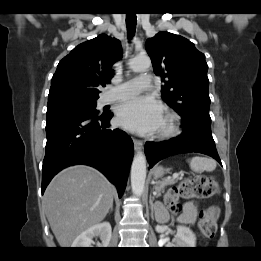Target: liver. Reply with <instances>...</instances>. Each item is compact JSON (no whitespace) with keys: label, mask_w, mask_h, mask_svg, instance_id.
<instances>
[{"label":"liver","mask_w":261,"mask_h":261,"mask_svg":"<svg viewBox=\"0 0 261 261\" xmlns=\"http://www.w3.org/2000/svg\"><path fill=\"white\" fill-rule=\"evenodd\" d=\"M114 188L97 170L73 166L47 187L43 204L59 245L70 247L85 230L104 220L113 206Z\"/></svg>","instance_id":"liver-1"}]
</instances>
